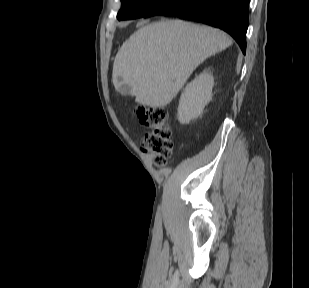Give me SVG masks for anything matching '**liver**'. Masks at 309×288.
Wrapping results in <instances>:
<instances>
[{"mask_svg":"<svg viewBox=\"0 0 309 288\" xmlns=\"http://www.w3.org/2000/svg\"><path fill=\"white\" fill-rule=\"evenodd\" d=\"M231 45V38L216 28L181 20L151 23L119 49L112 82L118 90L128 84L137 103L164 107L201 63Z\"/></svg>","mask_w":309,"mask_h":288,"instance_id":"obj_1","label":"liver"}]
</instances>
